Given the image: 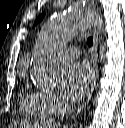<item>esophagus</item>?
Returning <instances> with one entry per match:
<instances>
[{"instance_id":"obj_1","label":"esophagus","mask_w":125,"mask_h":128,"mask_svg":"<svg viewBox=\"0 0 125 128\" xmlns=\"http://www.w3.org/2000/svg\"><path fill=\"white\" fill-rule=\"evenodd\" d=\"M92 35H93V40H94L93 46H92L94 80H93V85L90 89L89 94L87 95L85 100L82 102V104L78 107L76 115H78L89 103L92 93L96 87V81L98 78V42H99V39H98V33H97L96 29H94V28L92 29Z\"/></svg>"}]
</instances>
